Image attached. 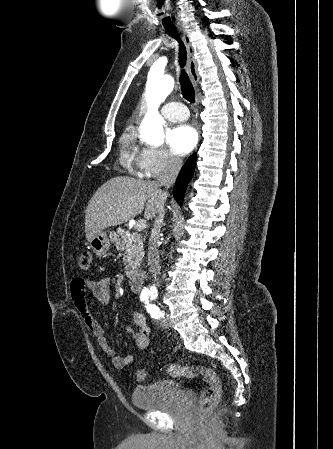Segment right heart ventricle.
I'll return each instance as SVG.
<instances>
[{
	"instance_id": "e07e8e85",
	"label": "right heart ventricle",
	"mask_w": 333,
	"mask_h": 449,
	"mask_svg": "<svg viewBox=\"0 0 333 449\" xmlns=\"http://www.w3.org/2000/svg\"><path fill=\"white\" fill-rule=\"evenodd\" d=\"M120 143H121V149H122V157L129 162H133L135 153H134V149H133L132 135L130 133L126 132L121 137Z\"/></svg>"
}]
</instances>
